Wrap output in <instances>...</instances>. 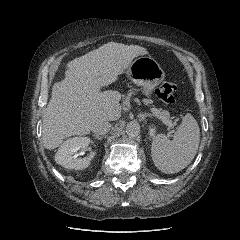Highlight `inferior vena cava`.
<instances>
[{
    "label": "inferior vena cava",
    "mask_w": 240,
    "mask_h": 240,
    "mask_svg": "<svg viewBox=\"0 0 240 240\" xmlns=\"http://www.w3.org/2000/svg\"><path fill=\"white\" fill-rule=\"evenodd\" d=\"M110 128L111 124L108 121H100L94 125L92 131L99 136L109 132Z\"/></svg>",
    "instance_id": "inferior-vena-cava-1"
}]
</instances>
